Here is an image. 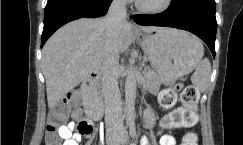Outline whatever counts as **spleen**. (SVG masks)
Masks as SVG:
<instances>
[{
	"mask_svg": "<svg viewBox=\"0 0 243 145\" xmlns=\"http://www.w3.org/2000/svg\"><path fill=\"white\" fill-rule=\"evenodd\" d=\"M203 52L196 64V69L191 76L192 83L200 90L205 91L209 85L211 76V63L205 58L202 60Z\"/></svg>",
	"mask_w": 243,
	"mask_h": 145,
	"instance_id": "1",
	"label": "spleen"
}]
</instances>
